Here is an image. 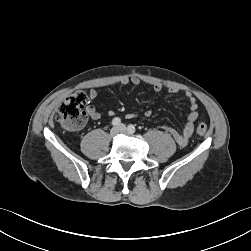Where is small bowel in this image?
<instances>
[{
    "label": "small bowel",
    "mask_w": 251,
    "mask_h": 251,
    "mask_svg": "<svg viewBox=\"0 0 251 251\" xmlns=\"http://www.w3.org/2000/svg\"><path fill=\"white\" fill-rule=\"evenodd\" d=\"M120 83L122 85H128V84H133V85H139L141 83V80L136 77V76H124L121 80ZM153 89L156 92H159L162 90V85L159 83L153 84ZM170 93H178L179 89L171 87L168 89ZM98 96V93L95 89H91L89 91V102H93ZM185 96L189 102V107H190V113L187 116L186 122L184 124V127L181 132H177L175 129L171 127H164L165 131L168 132L176 141V143L184 147L187 145L189 138L193 134L194 131V123L199 117V110H198V104L194 96L190 92H186ZM86 114L89 116L92 120H99L101 118L100 112L93 106V105H88L86 107ZM152 112L150 110H147L145 112L146 117H150ZM137 114L131 113L128 114V118H134L136 117Z\"/></svg>",
    "instance_id": "1"
}]
</instances>
